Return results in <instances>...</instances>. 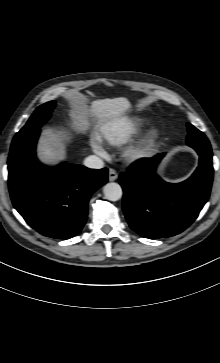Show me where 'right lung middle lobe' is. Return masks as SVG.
<instances>
[{
    "label": "right lung middle lobe",
    "instance_id": "right-lung-middle-lobe-1",
    "mask_svg": "<svg viewBox=\"0 0 220 363\" xmlns=\"http://www.w3.org/2000/svg\"><path fill=\"white\" fill-rule=\"evenodd\" d=\"M55 105V101H49L39 106L34 111L26 125L15 135L12 143L17 142L20 139L28 136L29 134L39 129L44 123H46V121L50 118V114L54 109Z\"/></svg>",
    "mask_w": 220,
    "mask_h": 363
}]
</instances>
